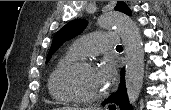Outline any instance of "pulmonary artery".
Returning a JSON list of instances; mask_svg holds the SVG:
<instances>
[{"label":"pulmonary artery","mask_w":171,"mask_h":110,"mask_svg":"<svg viewBox=\"0 0 171 110\" xmlns=\"http://www.w3.org/2000/svg\"><path fill=\"white\" fill-rule=\"evenodd\" d=\"M117 42L118 35L116 33L100 32L77 39L71 48L81 57H85L87 55L99 54L115 46Z\"/></svg>","instance_id":"obj_1"}]
</instances>
